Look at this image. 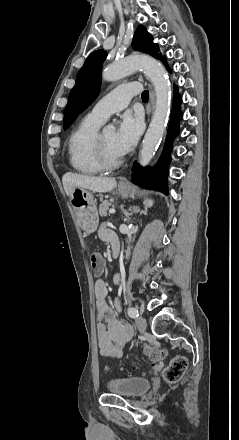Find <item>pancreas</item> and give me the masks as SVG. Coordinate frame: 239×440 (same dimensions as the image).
I'll use <instances>...</instances> for the list:
<instances>
[{
  "mask_svg": "<svg viewBox=\"0 0 239 440\" xmlns=\"http://www.w3.org/2000/svg\"><path fill=\"white\" fill-rule=\"evenodd\" d=\"M109 206H111V202L109 200H103L99 206V214L100 216H108L107 210H109Z\"/></svg>",
  "mask_w": 239,
  "mask_h": 440,
  "instance_id": "obj_1",
  "label": "pancreas"
}]
</instances>
